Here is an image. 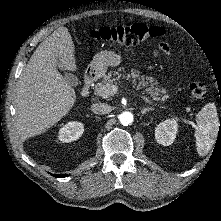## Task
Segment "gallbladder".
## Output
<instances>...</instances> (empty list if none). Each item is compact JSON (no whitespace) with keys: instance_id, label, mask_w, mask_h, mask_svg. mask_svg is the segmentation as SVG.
Returning <instances> with one entry per match:
<instances>
[{"instance_id":"obj_1","label":"gallbladder","mask_w":221,"mask_h":221,"mask_svg":"<svg viewBox=\"0 0 221 221\" xmlns=\"http://www.w3.org/2000/svg\"><path fill=\"white\" fill-rule=\"evenodd\" d=\"M56 65H57V68H59V69H61V70L64 71V69L60 67L59 61H58V63H57ZM64 79H65V80L67 81V83L70 84L71 86H77L78 83H79L78 78H77L75 75L71 74V73L65 72V74H64Z\"/></svg>"}]
</instances>
